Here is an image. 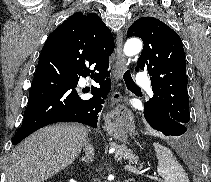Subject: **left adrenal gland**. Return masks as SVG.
<instances>
[{
    "instance_id": "1",
    "label": "left adrenal gland",
    "mask_w": 211,
    "mask_h": 182,
    "mask_svg": "<svg viewBox=\"0 0 211 182\" xmlns=\"http://www.w3.org/2000/svg\"><path fill=\"white\" fill-rule=\"evenodd\" d=\"M129 181H133V179H128V180H125V182H129Z\"/></svg>"
}]
</instances>
